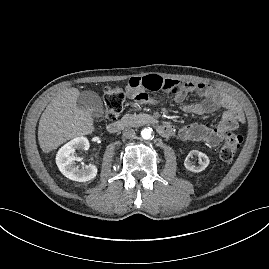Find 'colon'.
Returning <instances> with one entry per match:
<instances>
[{"label": "colon", "instance_id": "5ec220e1", "mask_svg": "<svg viewBox=\"0 0 269 269\" xmlns=\"http://www.w3.org/2000/svg\"><path fill=\"white\" fill-rule=\"evenodd\" d=\"M103 99L106 107V117L115 120L123 110L126 100L125 91L118 86H108L103 91ZM242 142V134L233 131L227 132L220 147V159L227 163L231 162Z\"/></svg>", "mask_w": 269, "mask_h": 269}]
</instances>
